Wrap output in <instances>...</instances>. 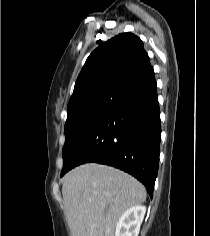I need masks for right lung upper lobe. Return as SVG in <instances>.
<instances>
[{
  "label": "right lung upper lobe",
  "mask_w": 210,
  "mask_h": 236,
  "mask_svg": "<svg viewBox=\"0 0 210 236\" xmlns=\"http://www.w3.org/2000/svg\"><path fill=\"white\" fill-rule=\"evenodd\" d=\"M154 74L143 42L122 33L104 42L87 58L75 83L68 109L107 91H127Z\"/></svg>",
  "instance_id": "cb5924a9"
}]
</instances>
